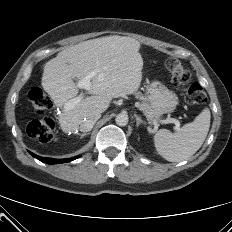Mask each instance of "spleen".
<instances>
[{
  "mask_svg": "<svg viewBox=\"0 0 232 232\" xmlns=\"http://www.w3.org/2000/svg\"><path fill=\"white\" fill-rule=\"evenodd\" d=\"M210 118V111L206 108L176 133L167 129L157 131L154 145L158 154L170 162H179L195 154L207 137Z\"/></svg>",
  "mask_w": 232,
  "mask_h": 232,
  "instance_id": "1",
  "label": "spleen"
}]
</instances>
